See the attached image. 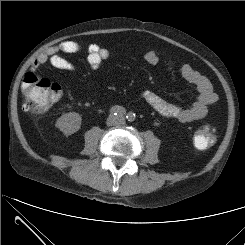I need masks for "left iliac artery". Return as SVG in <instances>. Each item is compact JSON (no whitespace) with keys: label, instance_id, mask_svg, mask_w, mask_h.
I'll list each match as a JSON object with an SVG mask.
<instances>
[{"label":"left iliac artery","instance_id":"left-iliac-artery-1","mask_svg":"<svg viewBox=\"0 0 245 245\" xmlns=\"http://www.w3.org/2000/svg\"><path fill=\"white\" fill-rule=\"evenodd\" d=\"M126 118L128 119V121H133L135 119V114L130 112L127 114Z\"/></svg>","mask_w":245,"mask_h":245}]
</instances>
